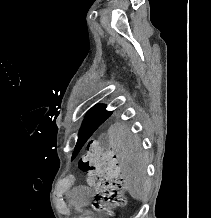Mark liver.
<instances>
[{"label": "liver", "instance_id": "obj_1", "mask_svg": "<svg viewBox=\"0 0 211 218\" xmlns=\"http://www.w3.org/2000/svg\"><path fill=\"white\" fill-rule=\"evenodd\" d=\"M109 146L114 150L121 168L125 190L135 200H144L149 192L145 178L147 158L137 136H131L126 124L116 122L108 130Z\"/></svg>", "mask_w": 211, "mask_h": 218}]
</instances>
